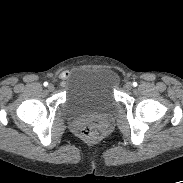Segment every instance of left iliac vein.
I'll return each mask as SVG.
<instances>
[{"instance_id":"1","label":"left iliac vein","mask_w":183,"mask_h":183,"mask_svg":"<svg viewBox=\"0 0 183 183\" xmlns=\"http://www.w3.org/2000/svg\"><path fill=\"white\" fill-rule=\"evenodd\" d=\"M132 87H133V84H132L131 82H126L125 88H126L127 90H131Z\"/></svg>"}]
</instances>
